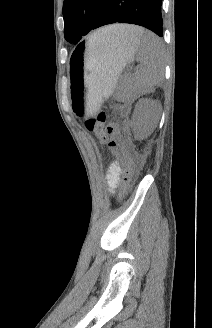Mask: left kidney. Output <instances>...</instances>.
<instances>
[{
  "label": "left kidney",
  "mask_w": 212,
  "mask_h": 328,
  "mask_svg": "<svg viewBox=\"0 0 212 328\" xmlns=\"http://www.w3.org/2000/svg\"><path fill=\"white\" fill-rule=\"evenodd\" d=\"M161 115V105L152 99H140L135 105L131 127L136 138L143 139L155 129Z\"/></svg>",
  "instance_id": "left-kidney-1"
}]
</instances>
